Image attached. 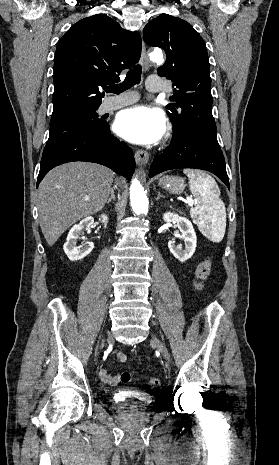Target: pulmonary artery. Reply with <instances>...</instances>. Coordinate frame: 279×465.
Returning a JSON list of instances; mask_svg holds the SVG:
<instances>
[{
  "instance_id": "pulmonary-artery-1",
  "label": "pulmonary artery",
  "mask_w": 279,
  "mask_h": 465,
  "mask_svg": "<svg viewBox=\"0 0 279 465\" xmlns=\"http://www.w3.org/2000/svg\"><path fill=\"white\" fill-rule=\"evenodd\" d=\"M147 89L150 92H161L163 85L161 80L157 76H150L147 80ZM138 100V95L134 92H128L120 96L111 97L106 99L102 106V112H109L129 104H132Z\"/></svg>"
}]
</instances>
